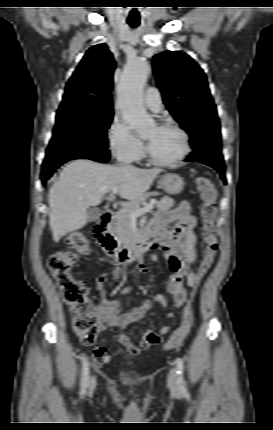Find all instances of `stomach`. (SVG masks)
<instances>
[{
    "label": "stomach",
    "instance_id": "stomach-1",
    "mask_svg": "<svg viewBox=\"0 0 273 430\" xmlns=\"http://www.w3.org/2000/svg\"><path fill=\"white\" fill-rule=\"evenodd\" d=\"M160 187L171 195L179 194L184 188L182 177L175 173H166L159 178Z\"/></svg>",
    "mask_w": 273,
    "mask_h": 430
}]
</instances>
